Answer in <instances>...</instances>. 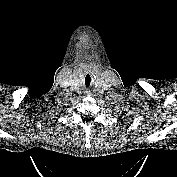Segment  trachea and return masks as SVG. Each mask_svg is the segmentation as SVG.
Masks as SVG:
<instances>
[{
    "instance_id": "3493384b",
    "label": "trachea",
    "mask_w": 177,
    "mask_h": 177,
    "mask_svg": "<svg viewBox=\"0 0 177 177\" xmlns=\"http://www.w3.org/2000/svg\"><path fill=\"white\" fill-rule=\"evenodd\" d=\"M88 77V79H90V81H91V78H90V76L89 75H86V77H85V80H86V78Z\"/></svg>"
}]
</instances>
